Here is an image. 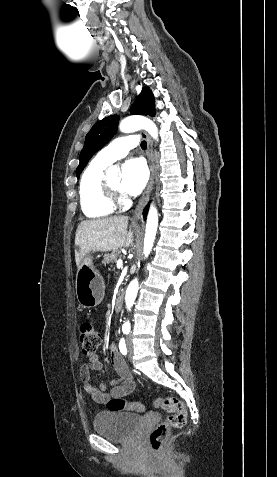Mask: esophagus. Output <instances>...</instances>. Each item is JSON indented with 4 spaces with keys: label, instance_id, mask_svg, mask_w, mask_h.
Instances as JSON below:
<instances>
[{
    "label": "esophagus",
    "instance_id": "1",
    "mask_svg": "<svg viewBox=\"0 0 277 477\" xmlns=\"http://www.w3.org/2000/svg\"><path fill=\"white\" fill-rule=\"evenodd\" d=\"M142 137L146 139V142H147V160H148V165H149V171H150V177H149V181H148V184H147V187L145 189V191L143 192L135 210H134V213H133V217H132V222L133 223H136L140 220L141 216H142V211H143V208L144 206L146 205L148 199H149V195H150V192L153 188V184H154V176H155V168H154V159H153V148H152V141L149 137V135L144 132L142 134Z\"/></svg>",
    "mask_w": 277,
    "mask_h": 477
}]
</instances>
